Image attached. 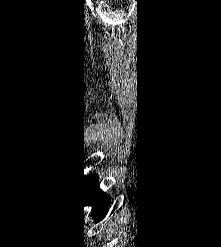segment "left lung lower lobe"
Wrapping results in <instances>:
<instances>
[{"instance_id": "1", "label": "left lung lower lobe", "mask_w": 221, "mask_h": 247, "mask_svg": "<svg viewBox=\"0 0 221 247\" xmlns=\"http://www.w3.org/2000/svg\"><path fill=\"white\" fill-rule=\"evenodd\" d=\"M70 198L81 213L94 222H100L109 210V197L102 190L101 174L92 164L82 162L71 181Z\"/></svg>"}]
</instances>
